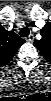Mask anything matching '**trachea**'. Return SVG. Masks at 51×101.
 <instances>
[{"label": "trachea", "mask_w": 51, "mask_h": 101, "mask_svg": "<svg viewBox=\"0 0 51 101\" xmlns=\"http://www.w3.org/2000/svg\"><path fill=\"white\" fill-rule=\"evenodd\" d=\"M21 37H28V35L30 34V30L28 27H23L20 32H19Z\"/></svg>", "instance_id": "1"}]
</instances>
